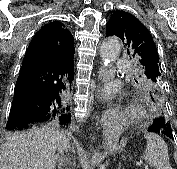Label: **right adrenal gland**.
<instances>
[{
	"label": "right adrenal gland",
	"instance_id": "2a0ac1e0",
	"mask_svg": "<svg viewBox=\"0 0 177 169\" xmlns=\"http://www.w3.org/2000/svg\"><path fill=\"white\" fill-rule=\"evenodd\" d=\"M62 157L58 154V169H63ZM67 169V168H66Z\"/></svg>",
	"mask_w": 177,
	"mask_h": 169
}]
</instances>
